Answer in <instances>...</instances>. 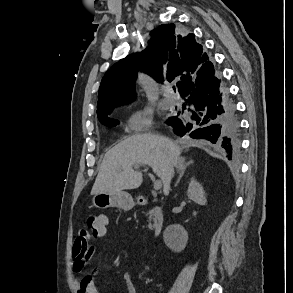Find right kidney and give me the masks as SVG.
I'll list each match as a JSON object with an SVG mask.
<instances>
[{"label":"right kidney","mask_w":293,"mask_h":293,"mask_svg":"<svg viewBox=\"0 0 293 293\" xmlns=\"http://www.w3.org/2000/svg\"><path fill=\"white\" fill-rule=\"evenodd\" d=\"M187 196L199 205H206L207 200L201 184L191 179L187 190ZM165 244L174 251H180L187 243V232L178 226H171L164 232Z\"/></svg>","instance_id":"right-kidney-1"}]
</instances>
